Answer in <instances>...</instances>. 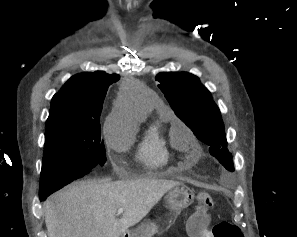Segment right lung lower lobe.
<instances>
[{"label":"right lung lower lobe","instance_id":"1","mask_svg":"<svg viewBox=\"0 0 297 237\" xmlns=\"http://www.w3.org/2000/svg\"><path fill=\"white\" fill-rule=\"evenodd\" d=\"M73 180H76V178L69 180L68 182H66V185L71 183ZM65 186V185H64ZM53 192H40L39 193V197L40 200L43 201L44 199H46L47 196H49L50 194H52Z\"/></svg>","mask_w":297,"mask_h":237}]
</instances>
